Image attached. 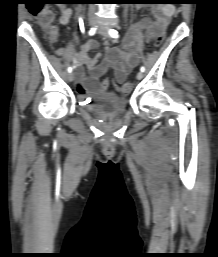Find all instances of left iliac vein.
<instances>
[{
    "label": "left iliac vein",
    "mask_w": 218,
    "mask_h": 257,
    "mask_svg": "<svg viewBox=\"0 0 218 257\" xmlns=\"http://www.w3.org/2000/svg\"><path fill=\"white\" fill-rule=\"evenodd\" d=\"M100 27L98 29V33L104 38L107 39L109 37V33L107 31V29L104 27L103 23H99ZM143 78V73L140 71L137 73V79L141 80Z\"/></svg>",
    "instance_id": "left-iliac-vein-1"
}]
</instances>
